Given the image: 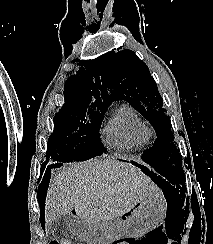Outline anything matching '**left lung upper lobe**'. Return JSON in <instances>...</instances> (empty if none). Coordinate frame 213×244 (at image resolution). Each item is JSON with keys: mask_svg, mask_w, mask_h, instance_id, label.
<instances>
[{"mask_svg": "<svg viewBox=\"0 0 213 244\" xmlns=\"http://www.w3.org/2000/svg\"><path fill=\"white\" fill-rule=\"evenodd\" d=\"M95 76L109 104L125 99L154 126L157 139L143 158L159 167L173 188L185 190L181 154L172 142L170 118L164 113L163 99L147 65L131 50H112L98 61Z\"/></svg>", "mask_w": 213, "mask_h": 244, "instance_id": "1", "label": "left lung upper lobe"}]
</instances>
